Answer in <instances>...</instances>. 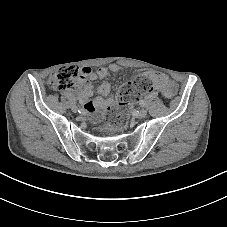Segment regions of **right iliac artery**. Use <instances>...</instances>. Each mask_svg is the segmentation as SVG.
<instances>
[{
  "instance_id": "obj_1",
  "label": "right iliac artery",
  "mask_w": 227,
  "mask_h": 227,
  "mask_svg": "<svg viewBox=\"0 0 227 227\" xmlns=\"http://www.w3.org/2000/svg\"><path fill=\"white\" fill-rule=\"evenodd\" d=\"M78 112L82 114V116H87V111H85L83 108H79Z\"/></svg>"
}]
</instances>
